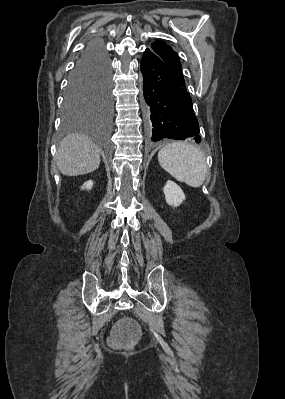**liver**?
I'll use <instances>...</instances> for the list:
<instances>
[{
    "label": "liver",
    "mask_w": 285,
    "mask_h": 399,
    "mask_svg": "<svg viewBox=\"0 0 285 399\" xmlns=\"http://www.w3.org/2000/svg\"><path fill=\"white\" fill-rule=\"evenodd\" d=\"M100 148L84 135H68L58 146L57 167L63 175L91 173L100 165Z\"/></svg>",
    "instance_id": "liver-1"
}]
</instances>
